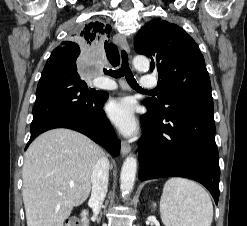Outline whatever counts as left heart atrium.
Returning <instances> with one entry per match:
<instances>
[{"instance_id":"left-heart-atrium-1","label":"left heart atrium","mask_w":247,"mask_h":226,"mask_svg":"<svg viewBox=\"0 0 247 226\" xmlns=\"http://www.w3.org/2000/svg\"><path fill=\"white\" fill-rule=\"evenodd\" d=\"M107 113L116 127L125 135H131L136 130L134 106L130 99L120 98L110 101Z\"/></svg>"}]
</instances>
